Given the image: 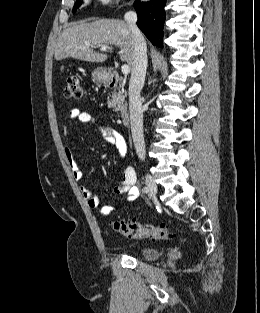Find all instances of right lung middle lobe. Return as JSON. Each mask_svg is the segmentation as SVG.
I'll list each match as a JSON object with an SVG mask.
<instances>
[{"label":"right lung middle lobe","mask_w":260,"mask_h":313,"mask_svg":"<svg viewBox=\"0 0 260 313\" xmlns=\"http://www.w3.org/2000/svg\"><path fill=\"white\" fill-rule=\"evenodd\" d=\"M81 5L80 1H76L75 5H74V9L73 12Z\"/></svg>","instance_id":"obj_1"}]
</instances>
